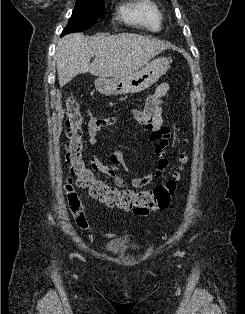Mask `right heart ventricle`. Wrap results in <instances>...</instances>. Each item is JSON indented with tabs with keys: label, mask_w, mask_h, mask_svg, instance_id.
<instances>
[{
	"label": "right heart ventricle",
	"mask_w": 245,
	"mask_h": 314,
	"mask_svg": "<svg viewBox=\"0 0 245 314\" xmlns=\"http://www.w3.org/2000/svg\"><path fill=\"white\" fill-rule=\"evenodd\" d=\"M119 15L126 22L158 31L162 27L163 15L154 0H128L119 7Z\"/></svg>",
	"instance_id": "1"
}]
</instances>
